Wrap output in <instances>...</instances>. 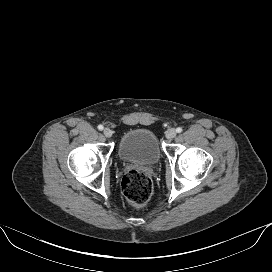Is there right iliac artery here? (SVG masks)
<instances>
[{
	"instance_id": "1",
	"label": "right iliac artery",
	"mask_w": 272,
	"mask_h": 272,
	"mask_svg": "<svg viewBox=\"0 0 272 272\" xmlns=\"http://www.w3.org/2000/svg\"><path fill=\"white\" fill-rule=\"evenodd\" d=\"M103 128H104L103 125H98L99 130H103Z\"/></svg>"
}]
</instances>
